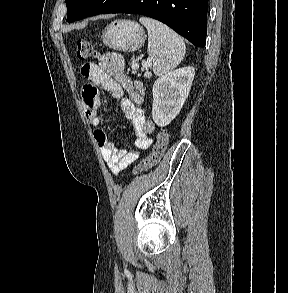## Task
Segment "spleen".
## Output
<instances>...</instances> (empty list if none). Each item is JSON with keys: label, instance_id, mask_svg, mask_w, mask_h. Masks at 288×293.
I'll return each mask as SVG.
<instances>
[{"label": "spleen", "instance_id": "1", "mask_svg": "<svg viewBox=\"0 0 288 293\" xmlns=\"http://www.w3.org/2000/svg\"><path fill=\"white\" fill-rule=\"evenodd\" d=\"M139 21L148 31V54L153 62V72L162 76L174 69L182 61L186 46L183 39L168 26L149 18Z\"/></svg>", "mask_w": 288, "mask_h": 293}]
</instances>
